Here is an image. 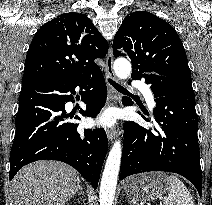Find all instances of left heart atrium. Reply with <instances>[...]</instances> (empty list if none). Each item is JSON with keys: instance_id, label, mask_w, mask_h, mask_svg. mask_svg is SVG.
I'll return each instance as SVG.
<instances>
[{"instance_id": "39dd6f15", "label": "left heart atrium", "mask_w": 212, "mask_h": 205, "mask_svg": "<svg viewBox=\"0 0 212 205\" xmlns=\"http://www.w3.org/2000/svg\"><path fill=\"white\" fill-rule=\"evenodd\" d=\"M116 119V115L112 111H106L101 114V116L98 119V123L103 126H111Z\"/></svg>"}]
</instances>
